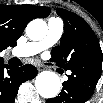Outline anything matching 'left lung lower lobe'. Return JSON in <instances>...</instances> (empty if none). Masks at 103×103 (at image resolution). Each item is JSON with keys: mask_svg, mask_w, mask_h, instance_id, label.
Returning a JSON list of instances; mask_svg holds the SVG:
<instances>
[{"mask_svg": "<svg viewBox=\"0 0 103 103\" xmlns=\"http://www.w3.org/2000/svg\"><path fill=\"white\" fill-rule=\"evenodd\" d=\"M102 60H90L71 68L63 89L47 103H85L93 94L102 72Z\"/></svg>", "mask_w": 103, "mask_h": 103, "instance_id": "0a47b994", "label": "left lung lower lobe"}]
</instances>
